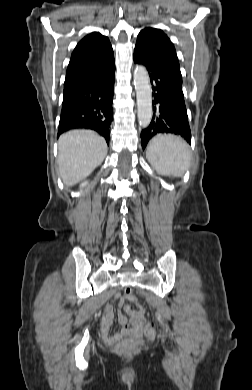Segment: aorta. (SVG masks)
Wrapping results in <instances>:
<instances>
[{
    "label": "aorta",
    "instance_id": "762f6f07",
    "mask_svg": "<svg viewBox=\"0 0 252 390\" xmlns=\"http://www.w3.org/2000/svg\"><path fill=\"white\" fill-rule=\"evenodd\" d=\"M134 85L136 90L138 121L142 127H147L152 119V89L147 70L137 66L134 70Z\"/></svg>",
    "mask_w": 252,
    "mask_h": 390
}]
</instances>
